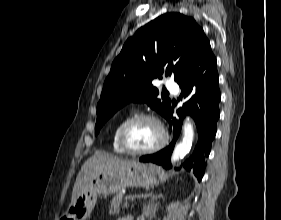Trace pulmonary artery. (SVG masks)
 Masks as SVG:
<instances>
[{"label":"pulmonary artery","instance_id":"1","mask_svg":"<svg viewBox=\"0 0 281 220\" xmlns=\"http://www.w3.org/2000/svg\"><path fill=\"white\" fill-rule=\"evenodd\" d=\"M166 88L167 90H169L170 92L177 94L179 92V87L177 85V83H175L174 81L170 80L166 83Z\"/></svg>","mask_w":281,"mask_h":220}]
</instances>
